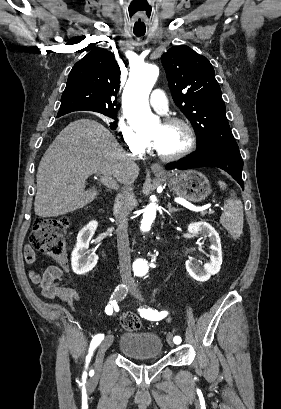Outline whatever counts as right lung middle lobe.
<instances>
[{
	"mask_svg": "<svg viewBox=\"0 0 281 409\" xmlns=\"http://www.w3.org/2000/svg\"><path fill=\"white\" fill-rule=\"evenodd\" d=\"M102 114H104L105 116H108L110 118H113L115 120H117V114L116 111H111V112H101Z\"/></svg>",
	"mask_w": 281,
	"mask_h": 409,
	"instance_id": "obj_1",
	"label": "right lung middle lobe"
}]
</instances>
